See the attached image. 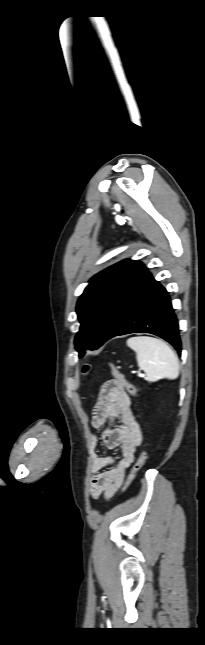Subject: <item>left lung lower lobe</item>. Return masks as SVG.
Returning a JSON list of instances; mask_svg holds the SVG:
<instances>
[{"instance_id":"0a47b994","label":"left lung lower lobe","mask_w":205,"mask_h":645,"mask_svg":"<svg viewBox=\"0 0 205 645\" xmlns=\"http://www.w3.org/2000/svg\"><path fill=\"white\" fill-rule=\"evenodd\" d=\"M139 332L163 338L180 355L178 320L169 294L140 261L120 290L103 343L115 336Z\"/></svg>"}]
</instances>
